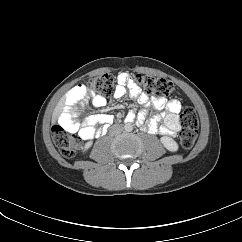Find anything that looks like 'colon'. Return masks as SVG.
Returning <instances> with one entry per match:
<instances>
[{
  "mask_svg": "<svg viewBox=\"0 0 242 242\" xmlns=\"http://www.w3.org/2000/svg\"><path fill=\"white\" fill-rule=\"evenodd\" d=\"M136 81L146 93L158 98L176 94L173 84L166 79L150 75H137ZM114 82V76L105 73L91 79L87 86L88 89L101 95H109L114 89ZM180 122L182 125L180 142L184 148L189 149L194 145L199 127L196 110L193 107H186L180 116ZM53 136L60 152L66 157H73L81 147L80 139L70 134L60 123L54 126Z\"/></svg>",
  "mask_w": 242,
  "mask_h": 242,
  "instance_id": "obj_1",
  "label": "colon"
}]
</instances>
